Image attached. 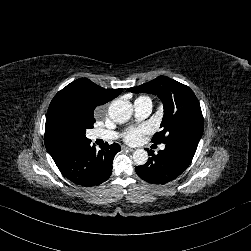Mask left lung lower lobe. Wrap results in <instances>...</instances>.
Segmentation results:
<instances>
[{
    "instance_id": "0a47b994",
    "label": "left lung lower lobe",
    "mask_w": 251,
    "mask_h": 251,
    "mask_svg": "<svg viewBox=\"0 0 251 251\" xmlns=\"http://www.w3.org/2000/svg\"><path fill=\"white\" fill-rule=\"evenodd\" d=\"M197 146L191 142L178 140L167 143L165 149L158 151V154L147 149L151 157L146 164L137 166L135 171L140 178L149 183L170 182L187 169Z\"/></svg>"
}]
</instances>
